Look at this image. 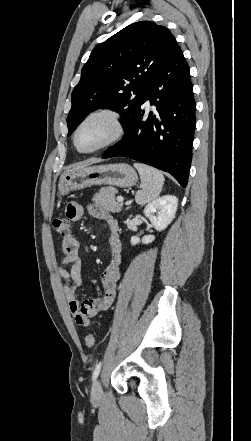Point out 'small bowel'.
Returning a JSON list of instances; mask_svg holds the SVG:
<instances>
[{
    "mask_svg": "<svg viewBox=\"0 0 251 441\" xmlns=\"http://www.w3.org/2000/svg\"><path fill=\"white\" fill-rule=\"evenodd\" d=\"M86 208L78 202H71L67 206V217L78 221L86 214ZM89 213L103 220L109 227L111 262L103 271L100 282L103 295L99 298L87 299L79 302L76 292L82 283L83 265L80 256V243L74 237L62 242L63 257L57 271L64 282L63 294L68 303L70 312L76 323L80 326H88L90 319L101 312L106 311L113 303L116 296L117 282L120 278L122 243L119 236V227L114 217L99 206H92Z\"/></svg>",
    "mask_w": 251,
    "mask_h": 441,
    "instance_id": "small-bowel-1",
    "label": "small bowel"
}]
</instances>
